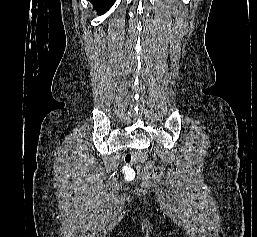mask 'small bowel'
I'll use <instances>...</instances> for the list:
<instances>
[{
	"mask_svg": "<svg viewBox=\"0 0 257 237\" xmlns=\"http://www.w3.org/2000/svg\"><path fill=\"white\" fill-rule=\"evenodd\" d=\"M123 172H124L126 178H128V179L134 178V172L129 166H124Z\"/></svg>",
	"mask_w": 257,
	"mask_h": 237,
	"instance_id": "obj_1",
	"label": "small bowel"
}]
</instances>
